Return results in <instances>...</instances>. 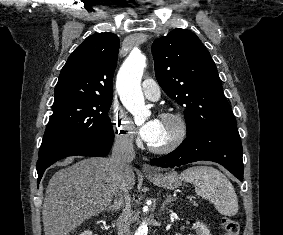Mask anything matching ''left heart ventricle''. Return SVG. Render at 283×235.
Instances as JSON below:
<instances>
[{
  "mask_svg": "<svg viewBox=\"0 0 283 235\" xmlns=\"http://www.w3.org/2000/svg\"><path fill=\"white\" fill-rule=\"evenodd\" d=\"M160 123L161 127L159 133L155 140L151 143L154 146H161L168 143L176 131V126L173 123L166 122L164 120H161Z\"/></svg>",
  "mask_w": 283,
  "mask_h": 235,
  "instance_id": "1",
  "label": "left heart ventricle"
}]
</instances>
